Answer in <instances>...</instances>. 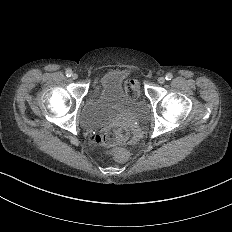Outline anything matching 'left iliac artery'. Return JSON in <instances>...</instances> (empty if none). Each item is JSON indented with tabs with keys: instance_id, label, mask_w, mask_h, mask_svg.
<instances>
[{
	"instance_id": "left-iliac-artery-1",
	"label": "left iliac artery",
	"mask_w": 232,
	"mask_h": 232,
	"mask_svg": "<svg viewBox=\"0 0 232 232\" xmlns=\"http://www.w3.org/2000/svg\"><path fill=\"white\" fill-rule=\"evenodd\" d=\"M173 78V74L172 73H167L166 75H165V79L166 80H171Z\"/></svg>"
}]
</instances>
